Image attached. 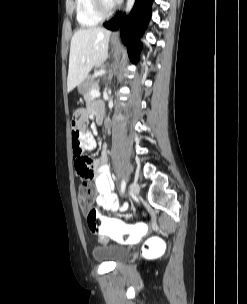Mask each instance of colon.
I'll return each instance as SVG.
<instances>
[{
	"label": "colon",
	"mask_w": 247,
	"mask_h": 304,
	"mask_svg": "<svg viewBox=\"0 0 247 304\" xmlns=\"http://www.w3.org/2000/svg\"><path fill=\"white\" fill-rule=\"evenodd\" d=\"M81 120V119H72ZM85 159H77V164L83 166ZM95 191L92 185L84 182L78 190V202L81 209L86 213L87 224L92 233L100 235L101 238H118V246H138V239L145 238L147 224H121L116 220L101 216L93 207ZM150 219V216H147ZM164 237H148L142 246L145 259H162L165 253Z\"/></svg>",
	"instance_id": "5ec220e1"
}]
</instances>
